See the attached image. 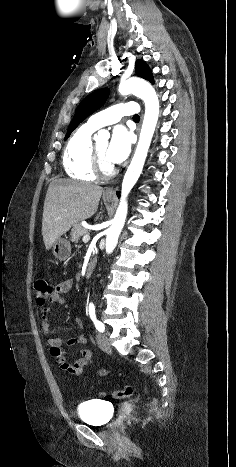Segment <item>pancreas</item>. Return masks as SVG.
I'll return each instance as SVG.
<instances>
[{
    "instance_id": "obj_1",
    "label": "pancreas",
    "mask_w": 236,
    "mask_h": 467,
    "mask_svg": "<svg viewBox=\"0 0 236 467\" xmlns=\"http://www.w3.org/2000/svg\"><path fill=\"white\" fill-rule=\"evenodd\" d=\"M87 234H89V231L86 228H84L82 225L77 224L71 230L70 240L72 242L77 243L82 236L87 235Z\"/></svg>"
}]
</instances>
